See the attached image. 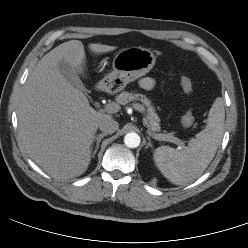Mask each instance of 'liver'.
Listing matches in <instances>:
<instances>
[{
	"instance_id": "obj_1",
	"label": "liver",
	"mask_w": 248,
	"mask_h": 248,
	"mask_svg": "<svg viewBox=\"0 0 248 248\" xmlns=\"http://www.w3.org/2000/svg\"><path fill=\"white\" fill-rule=\"evenodd\" d=\"M88 49L98 55L116 47L91 43ZM61 61L84 75L83 43L70 40L43 56L23 87L17 109L23 148L45 173L59 180L87 170L99 123L111 117L94 110L84 93L64 78L58 70Z\"/></svg>"
}]
</instances>
